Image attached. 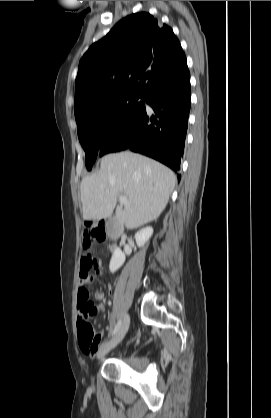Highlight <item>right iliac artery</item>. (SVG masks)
<instances>
[{
    "mask_svg": "<svg viewBox=\"0 0 271 418\" xmlns=\"http://www.w3.org/2000/svg\"><path fill=\"white\" fill-rule=\"evenodd\" d=\"M120 326H121V320H119L118 323L116 324L113 332L111 333L112 336L115 335L118 332Z\"/></svg>",
    "mask_w": 271,
    "mask_h": 418,
    "instance_id": "82829eb1",
    "label": "right iliac artery"
}]
</instances>
